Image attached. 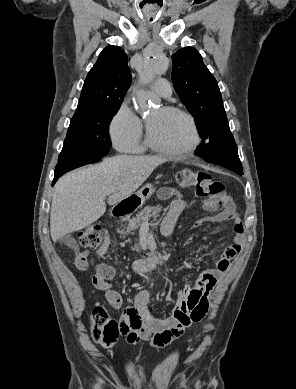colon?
Listing matches in <instances>:
<instances>
[{
    "label": "colon",
    "mask_w": 296,
    "mask_h": 389,
    "mask_svg": "<svg viewBox=\"0 0 296 389\" xmlns=\"http://www.w3.org/2000/svg\"><path fill=\"white\" fill-rule=\"evenodd\" d=\"M177 183L182 187H194L197 198L204 200L205 205L216 207L220 205L224 198V185L204 171H192L184 169L176 176ZM78 241L83 247L101 248L105 241L100 226L91 224L78 233ZM204 317L203 314L194 316L197 322ZM92 336L95 342L109 347L117 340L121 329L118 323L111 319L107 310L97 307L91 314Z\"/></svg>",
    "instance_id": "5ec220e1"
}]
</instances>
